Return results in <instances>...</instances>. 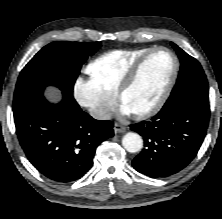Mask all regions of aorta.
<instances>
[{"mask_svg": "<svg viewBox=\"0 0 222 219\" xmlns=\"http://www.w3.org/2000/svg\"><path fill=\"white\" fill-rule=\"evenodd\" d=\"M122 145L128 152L136 153L143 147V140L139 134L129 132L123 136Z\"/></svg>", "mask_w": 222, "mask_h": 219, "instance_id": "aorta-1", "label": "aorta"}]
</instances>
